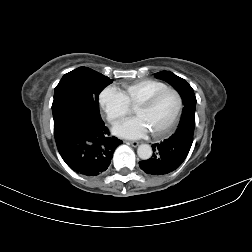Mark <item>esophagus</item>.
<instances>
[{"label":"esophagus","instance_id":"34e87169","mask_svg":"<svg viewBox=\"0 0 252 252\" xmlns=\"http://www.w3.org/2000/svg\"><path fill=\"white\" fill-rule=\"evenodd\" d=\"M128 144H130L133 147H137L139 145V142L138 141H130V142H128Z\"/></svg>","mask_w":252,"mask_h":252}]
</instances>
